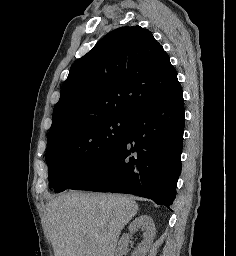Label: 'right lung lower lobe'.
Wrapping results in <instances>:
<instances>
[{"label": "right lung lower lobe", "instance_id": "98d812e1", "mask_svg": "<svg viewBox=\"0 0 236 256\" xmlns=\"http://www.w3.org/2000/svg\"><path fill=\"white\" fill-rule=\"evenodd\" d=\"M184 122L179 85L145 105L121 144L68 188L134 194L170 209L181 173Z\"/></svg>", "mask_w": 236, "mask_h": 256}]
</instances>
